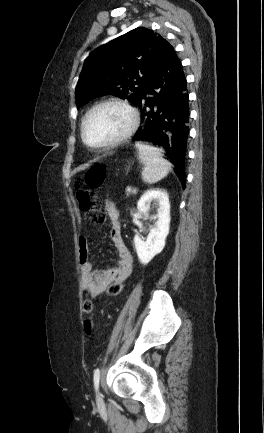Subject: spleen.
I'll list each match as a JSON object with an SVG mask.
<instances>
[{
  "label": "spleen",
  "mask_w": 264,
  "mask_h": 433,
  "mask_svg": "<svg viewBox=\"0 0 264 433\" xmlns=\"http://www.w3.org/2000/svg\"><path fill=\"white\" fill-rule=\"evenodd\" d=\"M135 146L138 149L139 158L144 165L142 170L144 182L153 184L168 175L171 171V164L163 158L159 148L141 142L135 143Z\"/></svg>",
  "instance_id": "3e777b00"
}]
</instances>
